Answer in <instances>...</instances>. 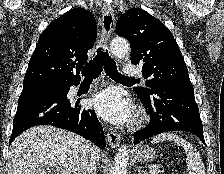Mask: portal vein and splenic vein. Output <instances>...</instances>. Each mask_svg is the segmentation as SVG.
<instances>
[{
	"label": "portal vein and splenic vein",
	"mask_w": 224,
	"mask_h": 174,
	"mask_svg": "<svg viewBox=\"0 0 224 174\" xmlns=\"http://www.w3.org/2000/svg\"><path fill=\"white\" fill-rule=\"evenodd\" d=\"M160 172H161V170L159 169V167H154V168L150 169L151 174H159Z\"/></svg>",
	"instance_id": "18ae733b"
}]
</instances>
